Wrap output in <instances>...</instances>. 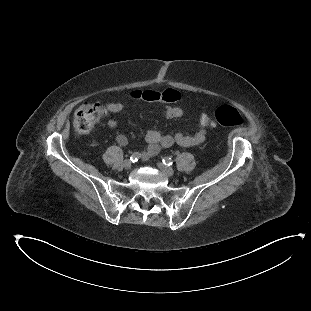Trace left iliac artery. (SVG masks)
<instances>
[{
  "mask_svg": "<svg viewBox=\"0 0 311 311\" xmlns=\"http://www.w3.org/2000/svg\"><path fill=\"white\" fill-rule=\"evenodd\" d=\"M162 162H163L165 165H168V166H170V165L173 164V160H172L170 157H164V158L162 159Z\"/></svg>",
  "mask_w": 311,
  "mask_h": 311,
  "instance_id": "obj_1",
  "label": "left iliac artery"
}]
</instances>
